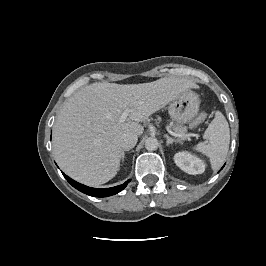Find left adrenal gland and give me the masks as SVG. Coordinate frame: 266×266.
Returning <instances> with one entry per match:
<instances>
[{"label":"left adrenal gland","mask_w":266,"mask_h":266,"mask_svg":"<svg viewBox=\"0 0 266 266\" xmlns=\"http://www.w3.org/2000/svg\"><path fill=\"white\" fill-rule=\"evenodd\" d=\"M164 137L167 139V146H169L170 144L179 142L178 140H175V139L171 138L167 134H165Z\"/></svg>","instance_id":"left-adrenal-gland-1"}]
</instances>
